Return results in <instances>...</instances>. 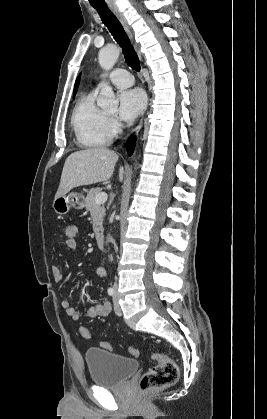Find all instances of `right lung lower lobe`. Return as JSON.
<instances>
[{
  "mask_svg": "<svg viewBox=\"0 0 267 419\" xmlns=\"http://www.w3.org/2000/svg\"><path fill=\"white\" fill-rule=\"evenodd\" d=\"M134 147H135V136H131L129 140L127 141V147H126L129 156L132 155Z\"/></svg>",
  "mask_w": 267,
  "mask_h": 419,
  "instance_id": "1",
  "label": "right lung lower lobe"
}]
</instances>
